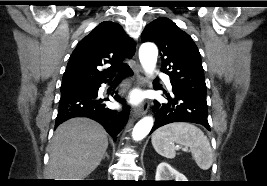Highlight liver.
<instances>
[{
  "label": "liver",
  "instance_id": "obj_1",
  "mask_svg": "<svg viewBox=\"0 0 267 186\" xmlns=\"http://www.w3.org/2000/svg\"><path fill=\"white\" fill-rule=\"evenodd\" d=\"M107 147V134L99 123L70 119L57 127L51 140L46 177L82 180L100 164Z\"/></svg>",
  "mask_w": 267,
  "mask_h": 186
}]
</instances>
